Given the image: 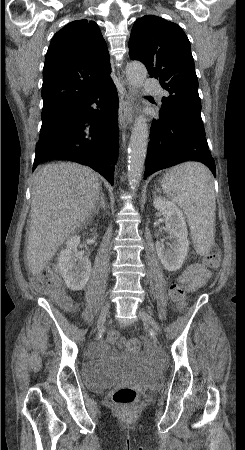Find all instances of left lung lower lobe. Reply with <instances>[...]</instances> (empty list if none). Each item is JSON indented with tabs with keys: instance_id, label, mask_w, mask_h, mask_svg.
Masks as SVG:
<instances>
[{
	"instance_id": "0a47b994",
	"label": "left lung lower lobe",
	"mask_w": 245,
	"mask_h": 450,
	"mask_svg": "<svg viewBox=\"0 0 245 450\" xmlns=\"http://www.w3.org/2000/svg\"><path fill=\"white\" fill-rule=\"evenodd\" d=\"M189 160L203 162L216 176L205 134L189 120L160 111L150 129L144 179L156 171Z\"/></svg>"
}]
</instances>
